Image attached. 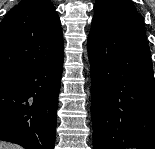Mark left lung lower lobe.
Masks as SVG:
<instances>
[{
  "label": "left lung lower lobe",
  "instance_id": "1",
  "mask_svg": "<svg viewBox=\"0 0 155 149\" xmlns=\"http://www.w3.org/2000/svg\"><path fill=\"white\" fill-rule=\"evenodd\" d=\"M93 149H155V82L142 21L91 29Z\"/></svg>",
  "mask_w": 155,
  "mask_h": 149
}]
</instances>
